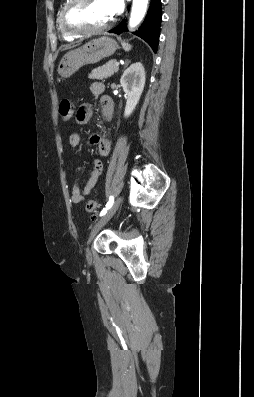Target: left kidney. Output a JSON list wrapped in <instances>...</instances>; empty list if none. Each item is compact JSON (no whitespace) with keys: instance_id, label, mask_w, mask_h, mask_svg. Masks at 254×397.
<instances>
[{"instance_id":"1","label":"left kidney","mask_w":254,"mask_h":397,"mask_svg":"<svg viewBox=\"0 0 254 397\" xmlns=\"http://www.w3.org/2000/svg\"><path fill=\"white\" fill-rule=\"evenodd\" d=\"M127 96L124 116L128 117L139 102L145 85V69L140 62L131 64L120 79Z\"/></svg>"}]
</instances>
